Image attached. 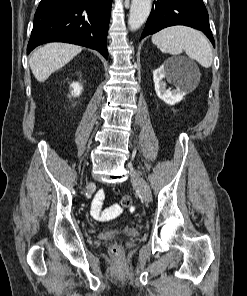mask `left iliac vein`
<instances>
[{"instance_id": "4c4485c4", "label": "left iliac vein", "mask_w": 247, "mask_h": 296, "mask_svg": "<svg viewBox=\"0 0 247 296\" xmlns=\"http://www.w3.org/2000/svg\"><path fill=\"white\" fill-rule=\"evenodd\" d=\"M131 182L137 187L141 192L144 200L150 202L151 200V190L147 182L139 176L133 169H131Z\"/></svg>"}]
</instances>
